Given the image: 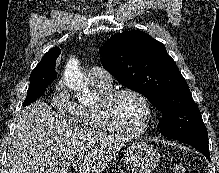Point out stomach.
<instances>
[{
  "instance_id": "stomach-1",
  "label": "stomach",
  "mask_w": 219,
  "mask_h": 173,
  "mask_svg": "<svg viewBox=\"0 0 219 173\" xmlns=\"http://www.w3.org/2000/svg\"><path fill=\"white\" fill-rule=\"evenodd\" d=\"M160 153L150 144L133 142L124 151L123 161L131 173H150L159 166Z\"/></svg>"
}]
</instances>
